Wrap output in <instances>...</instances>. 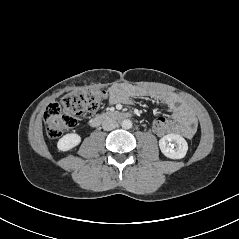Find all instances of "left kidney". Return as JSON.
Listing matches in <instances>:
<instances>
[{
    "label": "left kidney",
    "instance_id": "obj_1",
    "mask_svg": "<svg viewBox=\"0 0 239 239\" xmlns=\"http://www.w3.org/2000/svg\"><path fill=\"white\" fill-rule=\"evenodd\" d=\"M161 152L171 159H182L185 157L188 144L186 140L178 134H167L159 140Z\"/></svg>",
    "mask_w": 239,
    "mask_h": 239
}]
</instances>
